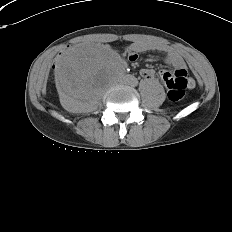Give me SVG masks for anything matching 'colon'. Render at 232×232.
Wrapping results in <instances>:
<instances>
[{
	"label": "colon",
	"mask_w": 232,
	"mask_h": 232,
	"mask_svg": "<svg viewBox=\"0 0 232 232\" xmlns=\"http://www.w3.org/2000/svg\"><path fill=\"white\" fill-rule=\"evenodd\" d=\"M168 96L172 101H179L184 97L185 89L190 86L191 80L185 75H174L165 80Z\"/></svg>",
	"instance_id": "5ec220e1"
}]
</instances>
